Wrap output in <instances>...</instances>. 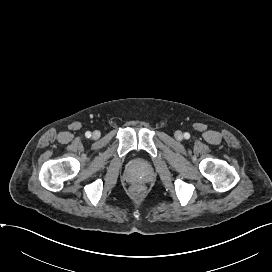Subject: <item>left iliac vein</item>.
I'll use <instances>...</instances> for the list:
<instances>
[{"mask_svg":"<svg viewBox=\"0 0 272 272\" xmlns=\"http://www.w3.org/2000/svg\"><path fill=\"white\" fill-rule=\"evenodd\" d=\"M177 137L180 138L182 136V134L180 132H177Z\"/></svg>","mask_w":272,"mask_h":272,"instance_id":"obj_1","label":"left iliac vein"}]
</instances>
